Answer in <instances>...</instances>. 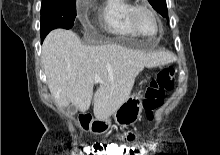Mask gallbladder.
Masks as SVG:
<instances>
[{"label": "gallbladder", "instance_id": "bac80fb5", "mask_svg": "<svg viewBox=\"0 0 220 155\" xmlns=\"http://www.w3.org/2000/svg\"><path fill=\"white\" fill-rule=\"evenodd\" d=\"M77 112V108L73 107L71 108V113L75 114Z\"/></svg>", "mask_w": 220, "mask_h": 155}]
</instances>
